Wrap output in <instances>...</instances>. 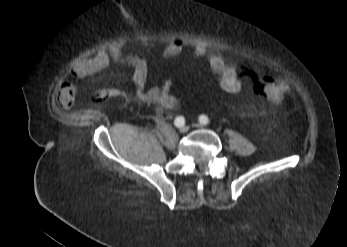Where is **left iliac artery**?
Listing matches in <instances>:
<instances>
[{
    "instance_id": "1",
    "label": "left iliac artery",
    "mask_w": 347,
    "mask_h": 247,
    "mask_svg": "<svg viewBox=\"0 0 347 247\" xmlns=\"http://www.w3.org/2000/svg\"><path fill=\"white\" fill-rule=\"evenodd\" d=\"M199 121H200V123L203 124V125H207V124L210 123V120H209V118H208L206 115H201V116L199 117Z\"/></svg>"
}]
</instances>
